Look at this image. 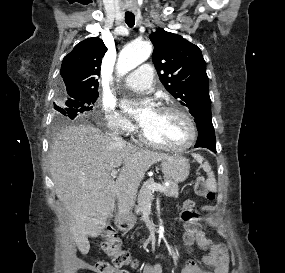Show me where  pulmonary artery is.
Returning <instances> with one entry per match:
<instances>
[{
  "label": "pulmonary artery",
  "mask_w": 285,
  "mask_h": 273,
  "mask_svg": "<svg viewBox=\"0 0 285 273\" xmlns=\"http://www.w3.org/2000/svg\"><path fill=\"white\" fill-rule=\"evenodd\" d=\"M153 75V67L148 63L142 64L126 77L125 83L131 89L146 90L152 86Z\"/></svg>",
  "instance_id": "obj_1"
}]
</instances>
